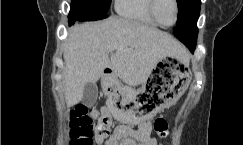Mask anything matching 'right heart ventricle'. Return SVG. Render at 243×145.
Masks as SVG:
<instances>
[{
    "mask_svg": "<svg viewBox=\"0 0 243 145\" xmlns=\"http://www.w3.org/2000/svg\"><path fill=\"white\" fill-rule=\"evenodd\" d=\"M149 4L150 0H115V9L124 18L158 27L159 24L151 16Z\"/></svg>",
    "mask_w": 243,
    "mask_h": 145,
    "instance_id": "e07e8e85",
    "label": "right heart ventricle"
}]
</instances>
